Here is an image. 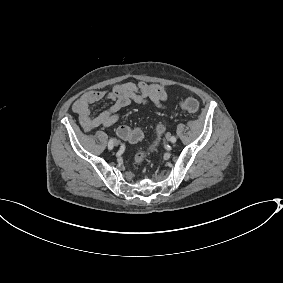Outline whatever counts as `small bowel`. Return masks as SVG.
<instances>
[{
  "label": "small bowel",
  "mask_w": 283,
  "mask_h": 283,
  "mask_svg": "<svg viewBox=\"0 0 283 283\" xmlns=\"http://www.w3.org/2000/svg\"><path fill=\"white\" fill-rule=\"evenodd\" d=\"M167 89L155 83L139 81L114 85L109 90H93L84 93L74 104L73 110L78 115L79 122L84 131L97 127H110L120 118L121 111L132 102L156 107H164L167 101ZM102 100H110L112 105L98 115L91 114L90 107Z\"/></svg>",
  "instance_id": "c3829d8e"
}]
</instances>
